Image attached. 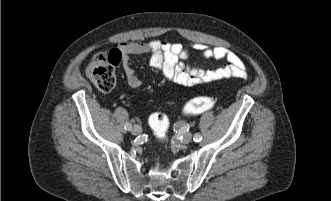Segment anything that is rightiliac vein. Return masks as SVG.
Wrapping results in <instances>:
<instances>
[{
	"label": "right iliac vein",
	"mask_w": 331,
	"mask_h": 201,
	"mask_svg": "<svg viewBox=\"0 0 331 201\" xmlns=\"http://www.w3.org/2000/svg\"><path fill=\"white\" fill-rule=\"evenodd\" d=\"M131 132L133 135H138L142 132V129L140 126L138 125H135L132 129H131Z\"/></svg>",
	"instance_id": "63e3f726"
}]
</instances>
